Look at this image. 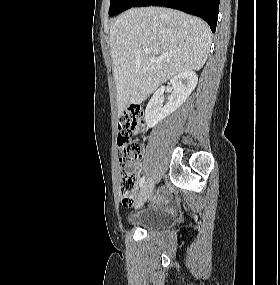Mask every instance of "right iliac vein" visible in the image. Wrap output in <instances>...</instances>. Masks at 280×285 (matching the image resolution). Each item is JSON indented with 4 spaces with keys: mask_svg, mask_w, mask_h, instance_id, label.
<instances>
[{
    "mask_svg": "<svg viewBox=\"0 0 280 285\" xmlns=\"http://www.w3.org/2000/svg\"><path fill=\"white\" fill-rule=\"evenodd\" d=\"M153 189H154V183L152 180L145 183V185L143 186L139 194V198L137 201L138 206H141L150 198V196L152 195Z\"/></svg>",
    "mask_w": 280,
    "mask_h": 285,
    "instance_id": "63e3f726",
    "label": "right iliac vein"
}]
</instances>
